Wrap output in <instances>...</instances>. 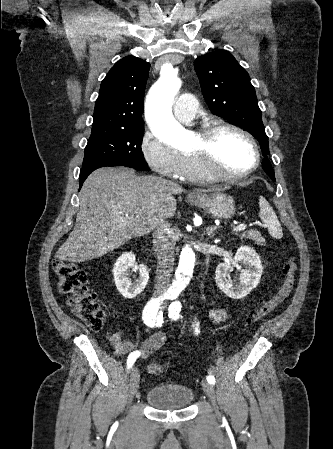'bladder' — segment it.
Returning a JSON list of instances; mask_svg holds the SVG:
<instances>
[{
    "instance_id": "1",
    "label": "bladder",
    "mask_w": 333,
    "mask_h": 449,
    "mask_svg": "<svg viewBox=\"0 0 333 449\" xmlns=\"http://www.w3.org/2000/svg\"><path fill=\"white\" fill-rule=\"evenodd\" d=\"M194 399L193 390L184 384L165 383L149 388L147 403L160 410H176L190 406Z\"/></svg>"
}]
</instances>
